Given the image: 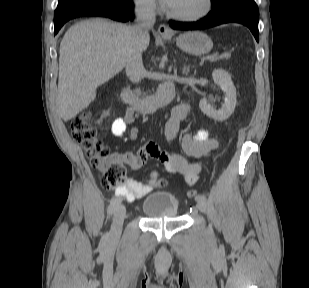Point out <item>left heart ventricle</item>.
Wrapping results in <instances>:
<instances>
[{"instance_id":"left-heart-ventricle-1","label":"left heart ventricle","mask_w":309,"mask_h":288,"mask_svg":"<svg viewBox=\"0 0 309 288\" xmlns=\"http://www.w3.org/2000/svg\"><path fill=\"white\" fill-rule=\"evenodd\" d=\"M205 0H173L169 9L173 12L193 15L204 9Z\"/></svg>"}]
</instances>
